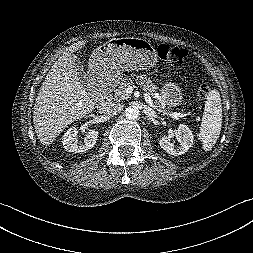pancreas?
I'll return each instance as SVG.
<instances>
[{
    "label": "pancreas",
    "mask_w": 253,
    "mask_h": 253,
    "mask_svg": "<svg viewBox=\"0 0 253 253\" xmlns=\"http://www.w3.org/2000/svg\"><path fill=\"white\" fill-rule=\"evenodd\" d=\"M138 79L139 81L136 83L139 84V86L142 87V89L145 92H147L151 97L155 98L156 95L158 94L157 92L158 87L154 85L149 78L144 77L143 75L138 76ZM132 85H134V82L131 79L127 77L123 78L119 87L115 90L114 99L116 101L128 99L130 95L127 94L125 90L128 86H132ZM155 105L156 107L160 106L158 101L155 102Z\"/></svg>",
    "instance_id": "1"
}]
</instances>
